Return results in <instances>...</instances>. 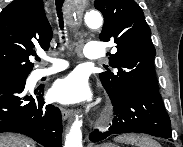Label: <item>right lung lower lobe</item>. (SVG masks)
Returning <instances> with one entry per match:
<instances>
[{
	"instance_id": "1",
	"label": "right lung lower lobe",
	"mask_w": 183,
	"mask_h": 147,
	"mask_svg": "<svg viewBox=\"0 0 183 147\" xmlns=\"http://www.w3.org/2000/svg\"><path fill=\"white\" fill-rule=\"evenodd\" d=\"M24 88L25 80L0 84V133H20L45 147H61L60 110L44 102L43 88L34 94Z\"/></svg>"
}]
</instances>
